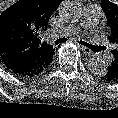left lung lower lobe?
I'll return each mask as SVG.
<instances>
[{
    "label": "left lung lower lobe",
    "instance_id": "left-lung-lower-lobe-1",
    "mask_svg": "<svg viewBox=\"0 0 118 118\" xmlns=\"http://www.w3.org/2000/svg\"><path fill=\"white\" fill-rule=\"evenodd\" d=\"M101 78L108 82H117L118 81V76H115L112 73V71H110L109 69H107L106 72L101 75Z\"/></svg>",
    "mask_w": 118,
    "mask_h": 118
}]
</instances>
